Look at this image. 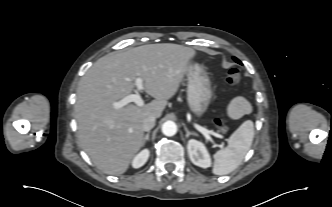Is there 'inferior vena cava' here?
I'll use <instances>...</instances> for the list:
<instances>
[{
    "instance_id": "1",
    "label": "inferior vena cava",
    "mask_w": 332,
    "mask_h": 207,
    "mask_svg": "<svg viewBox=\"0 0 332 207\" xmlns=\"http://www.w3.org/2000/svg\"><path fill=\"white\" fill-rule=\"evenodd\" d=\"M155 120L156 118L154 116H148L143 120V130L144 131H149L155 126Z\"/></svg>"
}]
</instances>
